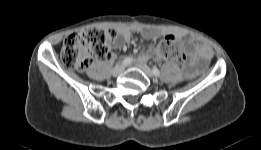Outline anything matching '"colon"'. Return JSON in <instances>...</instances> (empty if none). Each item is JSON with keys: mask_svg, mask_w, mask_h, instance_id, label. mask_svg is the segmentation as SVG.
Here are the masks:
<instances>
[{"mask_svg": "<svg viewBox=\"0 0 261 150\" xmlns=\"http://www.w3.org/2000/svg\"><path fill=\"white\" fill-rule=\"evenodd\" d=\"M112 29L88 27L70 34L64 40L61 62L68 69L86 71L96 58H105L110 51L109 43L114 38ZM152 56L159 60L184 63L185 55L180 42L172 36L163 38L153 49Z\"/></svg>", "mask_w": 261, "mask_h": 150, "instance_id": "1", "label": "colon"}]
</instances>
